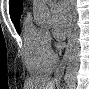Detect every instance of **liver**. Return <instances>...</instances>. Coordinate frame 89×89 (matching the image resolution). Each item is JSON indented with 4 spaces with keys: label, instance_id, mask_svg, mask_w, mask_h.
Returning <instances> with one entry per match:
<instances>
[{
    "label": "liver",
    "instance_id": "1",
    "mask_svg": "<svg viewBox=\"0 0 89 89\" xmlns=\"http://www.w3.org/2000/svg\"><path fill=\"white\" fill-rule=\"evenodd\" d=\"M54 81L46 77H30L25 81L24 89H54Z\"/></svg>",
    "mask_w": 89,
    "mask_h": 89
}]
</instances>
